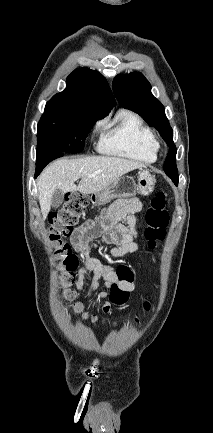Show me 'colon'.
I'll return each instance as SVG.
<instances>
[{
  "mask_svg": "<svg viewBox=\"0 0 213 433\" xmlns=\"http://www.w3.org/2000/svg\"><path fill=\"white\" fill-rule=\"evenodd\" d=\"M89 201L87 197L73 193L68 196L63 206L56 212H52L48 217L47 235L58 261L59 282L63 287V298L69 304L72 311L81 315L84 319L97 322L99 319L96 315L89 314L81 302L76 301V292L72 286L75 281L74 269L78 264L77 257L72 253L70 245L65 238L70 236L74 231L76 224ZM146 224L144 235L148 246L154 248L165 238V229L169 222V215L166 209V195L164 192H158L150 202L146 211ZM119 282L131 283L133 274L127 267H119L116 270ZM129 292L118 285L111 289L110 298L116 305L126 303ZM150 303L146 301L144 308L149 309Z\"/></svg>",
  "mask_w": 213,
  "mask_h": 433,
  "instance_id": "obj_1",
  "label": "colon"
}]
</instances>
